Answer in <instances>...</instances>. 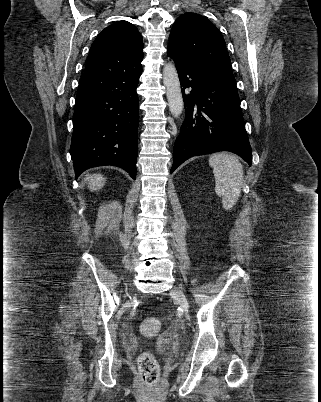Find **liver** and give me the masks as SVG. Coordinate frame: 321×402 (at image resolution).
Returning a JSON list of instances; mask_svg holds the SVG:
<instances>
[{
    "label": "liver",
    "mask_w": 321,
    "mask_h": 402,
    "mask_svg": "<svg viewBox=\"0 0 321 402\" xmlns=\"http://www.w3.org/2000/svg\"><path fill=\"white\" fill-rule=\"evenodd\" d=\"M85 180L92 191L100 190L105 185V178L100 174L88 175Z\"/></svg>",
    "instance_id": "6515ba94"
}]
</instances>
